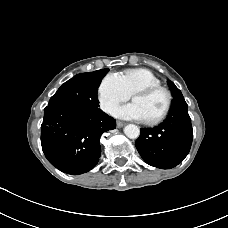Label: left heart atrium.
<instances>
[{"label":"left heart atrium","instance_id":"1","mask_svg":"<svg viewBox=\"0 0 228 228\" xmlns=\"http://www.w3.org/2000/svg\"><path fill=\"white\" fill-rule=\"evenodd\" d=\"M112 114L122 119L144 120L139 107L135 103H129L116 107Z\"/></svg>","mask_w":228,"mask_h":228}]
</instances>
